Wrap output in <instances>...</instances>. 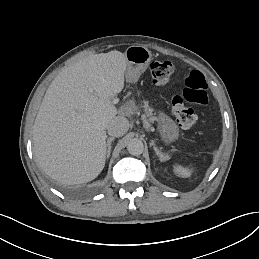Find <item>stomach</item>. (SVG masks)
<instances>
[{"mask_svg":"<svg viewBox=\"0 0 259 259\" xmlns=\"http://www.w3.org/2000/svg\"><path fill=\"white\" fill-rule=\"evenodd\" d=\"M125 56L128 61L123 74L126 83L133 85L137 83L138 79L142 77L144 70L151 60V52L143 46L132 45L125 51Z\"/></svg>","mask_w":259,"mask_h":259,"instance_id":"1","label":"stomach"}]
</instances>
